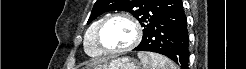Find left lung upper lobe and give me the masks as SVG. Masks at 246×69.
<instances>
[{
    "label": "left lung upper lobe",
    "mask_w": 246,
    "mask_h": 69,
    "mask_svg": "<svg viewBox=\"0 0 246 69\" xmlns=\"http://www.w3.org/2000/svg\"><path fill=\"white\" fill-rule=\"evenodd\" d=\"M180 0H97L88 23L104 12L128 11L144 27L143 31L162 19Z\"/></svg>",
    "instance_id": "obj_1"
}]
</instances>
